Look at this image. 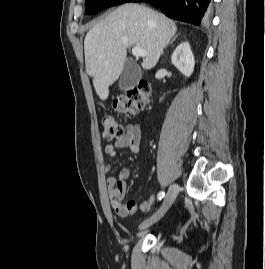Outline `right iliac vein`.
<instances>
[{
    "instance_id": "right-iliac-vein-1",
    "label": "right iliac vein",
    "mask_w": 265,
    "mask_h": 269,
    "mask_svg": "<svg viewBox=\"0 0 265 269\" xmlns=\"http://www.w3.org/2000/svg\"><path fill=\"white\" fill-rule=\"evenodd\" d=\"M178 193V185L177 184H173L169 190L168 193L164 199V202L162 204V206L160 207V209L149 219H147L146 221H144L141 226L140 229H146L149 226H151L152 224L156 223L158 220L161 219V217L167 212V210L171 207V205L173 204L176 196Z\"/></svg>"
}]
</instances>
